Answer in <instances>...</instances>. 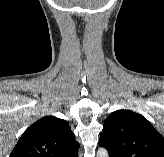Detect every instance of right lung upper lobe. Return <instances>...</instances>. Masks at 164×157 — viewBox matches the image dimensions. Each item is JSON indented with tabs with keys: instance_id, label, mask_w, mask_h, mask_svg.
<instances>
[{
	"instance_id": "1",
	"label": "right lung upper lobe",
	"mask_w": 164,
	"mask_h": 157,
	"mask_svg": "<svg viewBox=\"0 0 164 157\" xmlns=\"http://www.w3.org/2000/svg\"><path fill=\"white\" fill-rule=\"evenodd\" d=\"M78 148L69 124L63 119L46 116L24 132L10 157H68Z\"/></svg>"
}]
</instances>
